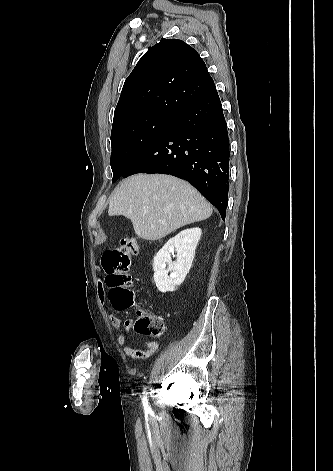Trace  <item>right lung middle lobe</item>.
<instances>
[{"label":"right lung middle lobe","instance_id":"right-lung-middle-lobe-1","mask_svg":"<svg viewBox=\"0 0 333 471\" xmlns=\"http://www.w3.org/2000/svg\"><path fill=\"white\" fill-rule=\"evenodd\" d=\"M175 115L141 112L113 122L111 131V168L116 182L136 157L164 130Z\"/></svg>","mask_w":333,"mask_h":471}]
</instances>
